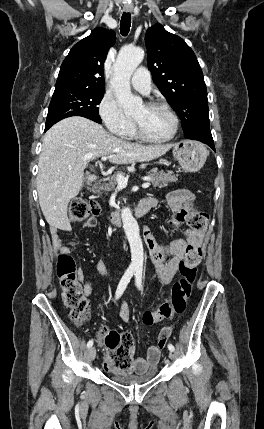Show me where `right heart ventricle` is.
I'll return each mask as SVG.
<instances>
[{
  "mask_svg": "<svg viewBox=\"0 0 264 429\" xmlns=\"http://www.w3.org/2000/svg\"><path fill=\"white\" fill-rule=\"evenodd\" d=\"M137 135H136V131H135V128L133 127L132 129H131V131L126 135V137H128V138H135Z\"/></svg>",
  "mask_w": 264,
  "mask_h": 429,
  "instance_id": "obj_1",
  "label": "right heart ventricle"
}]
</instances>
